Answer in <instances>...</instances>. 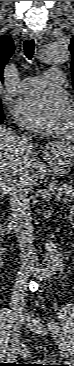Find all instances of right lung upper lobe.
<instances>
[{
  "label": "right lung upper lobe",
  "mask_w": 74,
  "mask_h": 366,
  "mask_svg": "<svg viewBox=\"0 0 74 366\" xmlns=\"http://www.w3.org/2000/svg\"><path fill=\"white\" fill-rule=\"evenodd\" d=\"M14 49V43L10 37H0V85L4 82V78L2 76L4 66L7 64L8 60L13 54Z\"/></svg>",
  "instance_id": "cb5924a9"
}]
</instances>
